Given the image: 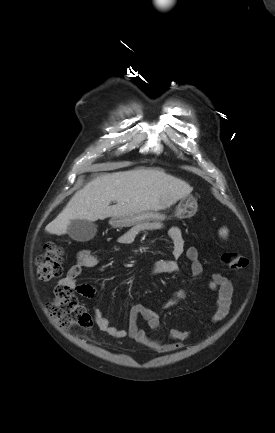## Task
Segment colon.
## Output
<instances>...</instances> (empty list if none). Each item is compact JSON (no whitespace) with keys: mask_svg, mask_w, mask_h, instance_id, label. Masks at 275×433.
<instances>
[{"mask_svg":"<svg viewBox=\"0 0 275 433\" xmlns=\"http://www.w3.org/2000/svg\"><path fill=\"white\" fill-rule=\"evenodd\" d=\"M223 264L231 270L243 269L247 259L237 251H228L221 257ZM37 277L42 280L56 278L63 271L62 249L55 242L49 241L44 252L36 258ZM49 316L63 329L79 327L83 330L92 327V317L81 305L72 290L59 286L55 290V298L47 305Z\"/></svg>","mask_w":275,"mask_h":433,"instance_id":"5ec220e1","label":"colon"}]
</instances>
